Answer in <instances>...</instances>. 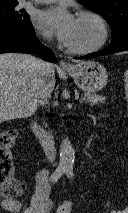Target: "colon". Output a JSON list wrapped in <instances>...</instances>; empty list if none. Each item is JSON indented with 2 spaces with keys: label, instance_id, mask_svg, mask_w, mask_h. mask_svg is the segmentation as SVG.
<instances>
[{
  "label": "colon",
  "instance_id": "obj_1",
  "mask_svg": "<svg viewBox=\"0 0 128 213\" xmlns=\"http://www.w3.org/2000/svg\"><path fill=\"white\" fill-rule=\"evenodd\" d=\"M125 86V99L128 103V70L123 75ZM17 139V131L8 129L0 132V195L6 199L16 197L21 191V184L15 177L12 162V147ZM72 202L62 203L56 213H70Z\"/></svg>",
  "mask_w": 128,
  "mask_h": 213
}]
</instances>
